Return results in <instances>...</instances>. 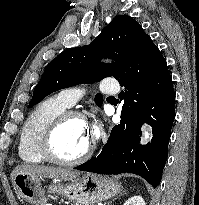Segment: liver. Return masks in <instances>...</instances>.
<instances>
[{"label":"liver","mask_w":199,"mask_h":205,"mask_svg":"<svg viewBox=\"0 0 199 205\" xmlns=\"http://www.w3.org/2000/svg\"><path fill=\"white\" fill-rule=\"evenodd\" d=\"M22 172L38 177H45L50 179H59L69 181L79 176L78 171H72L64 168H56L50 166H37V165H19L11 173V181L13 183L14 177L17 173ZM14 184V183H13Z\"/></svg>","instance_id":"1"}]
</instances>
